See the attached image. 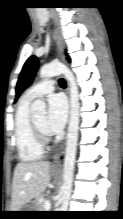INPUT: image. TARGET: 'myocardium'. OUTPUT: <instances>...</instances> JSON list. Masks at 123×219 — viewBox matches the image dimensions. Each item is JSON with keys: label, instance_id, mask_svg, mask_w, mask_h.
I'll use <instances>...</instances> for the list:
<instances>
[{"label": "myocardium", "instance_id": "1", "mask_svg": "<svg viewBox=\"0 0 123 219\" xmlns=\"http://www.w3.org/2000/svg\"><path fill=\"white\" fill-rule=\"evenodd\" d=\"M33 128L35 130L36 136L40 143L44 146L51 140V135L48 131L42 129L35 121V119L32 120Z\"/></svg>", "mask_w": 123, "mask_h": 219}]
</instances>
